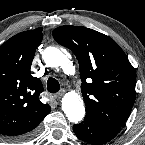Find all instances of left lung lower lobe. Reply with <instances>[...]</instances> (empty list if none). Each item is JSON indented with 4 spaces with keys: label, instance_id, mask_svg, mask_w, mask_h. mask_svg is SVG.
I'll use <instances>...</instances> for the list:
<instances>
[{
    "label": "left lung lower lobe",
    "instance_id": "0a47b994",
    "mask_svg": "<svg viewBox=\"0 0 145 145\" xmlns=\"http://www.w3.org/2000/svg\"><path fill=\"white\" fill-rule=\"evenodd\" d=\"M73 130L79 139L90 144H104L120 131L118 128L105 126L86 117L80 124L73 125Z\"/></svg>",
    "mask_w": 145,
    "mask_h": 145
}]
</instances>
